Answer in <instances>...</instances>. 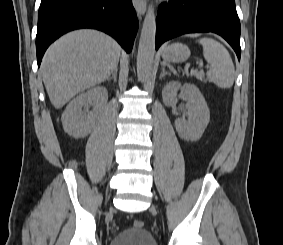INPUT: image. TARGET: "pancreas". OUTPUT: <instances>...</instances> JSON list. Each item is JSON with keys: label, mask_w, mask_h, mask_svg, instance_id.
<instances>
[{"label": "pancreas", "mask_w": 283, "mask_h": 245, "mask_svg": "<svg viewBox=\"0 0 283 245\" xmlns=\"http://www.w3.org/2000/svg\"><path fill=\"white\" fill-rule=\"evenodd\" d=\"M192 75L201 79L203 76V72L193 71Z\"/></svg>", "instance_id": "cf45deb5"}]
</instances>
